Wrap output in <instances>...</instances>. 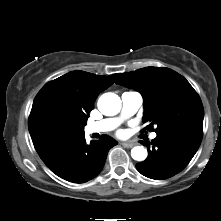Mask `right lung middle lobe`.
<instances>
[{
	"mask_svg": "<svg viewBox=\"0 0 221 221\" xmlns=\"http://www.w3.org/2000/svg\"><path fill=\"white\" fill-rule=\"evenodd\" d=\"M86 121H78L65 112H52L43 120V132L49 138L76 135L84 133Z\"/></svg>",
	"mask_w": 221,
	"mask_h": 221,
	"instance_id": "1",
	"label": "right lung middle lobe"
}]
</instances>
